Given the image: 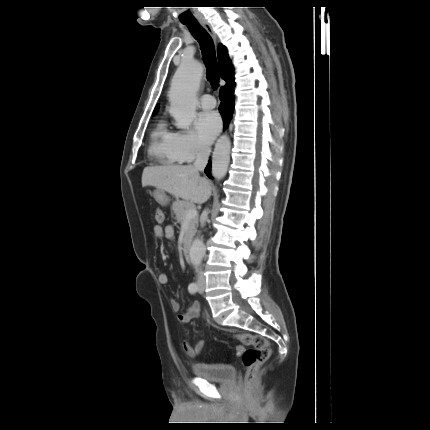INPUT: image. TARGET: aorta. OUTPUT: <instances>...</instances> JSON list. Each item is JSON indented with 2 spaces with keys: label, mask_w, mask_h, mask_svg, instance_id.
Masks as SVG:
<instances>
[{
  "label": "aorta",
  "mask_w": 430,
  "mask_h": 430,
  "mask_svg": "<svg viewBox=\"0 0 430 430\" xmlns=\"http://www.w3.org/2000/svg\"><path fill=\"white\" fill-rule=\"evenodd\" d=\"M203 74V68L198 61H185L177 69L168 94L170 101V114L181 129L188 128L196 118V95ZM231 141L226 135L221 136L214 148L212 156V175L223 178L226 175L230 162ZM206 248L203 241L196 238L189 250L191 264L197 269Z\"/></svg>",
  "instance_id": "762f6f07"
}]
</instances>
